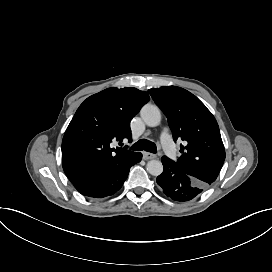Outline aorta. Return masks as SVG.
Here are the masks:
<instances>
[{"mask_svg":"<svg viewBox=\"0 0 272 272\" xmlns=\"http://www.w3.org/2000/svg\"><path fill=\"white\" fill-rule=\"evenodd\" d=\"M140 115L149 127H157L161 123V112L156 105L146 104ZM146 169L151 175L158 176L163 172V165L160 160L152 159L147 162Z\"/></svg>","mask_w":272,"mask_h":272,"instance_id":"762f6f07","label":"aorta"}]
</instances>
